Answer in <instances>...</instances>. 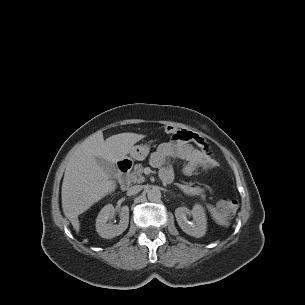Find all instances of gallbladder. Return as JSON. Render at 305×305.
Returning <instances> with one entry per match:
<instances>
[{
	"label": "gallbladder",
	"mask_w": 305,
	"mask_h": 305,
	"mask_svg": "<svg viewBox=\"0 0 305 305\" xmlns=\"http://www.w3.org/2000/svg\"><path fill=\"white\" fill-rule=\"evenodd\" d=\"M95 159L99 166L109 175V177H115L117 175V169L113 163L100 157H96Z\"/></svg>",
	"instance_id": "obj_1"
}]
</instances>
